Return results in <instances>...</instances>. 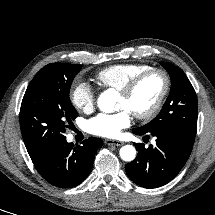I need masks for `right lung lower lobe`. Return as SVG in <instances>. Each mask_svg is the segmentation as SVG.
<instances>
[{
  "label": "right lung lower lobe",
  "mask_w": 215,
  "mask_h": 215,
  "mask_svg": "<svg viewBox=\"0 0 215 215\" xmlns=\"http://www.w3.org/2000/svg\"><path fill=\"white\" fill-rule=\"evenodd\" d=\"M103 145L99 138L90 137L82 146L68 143L66 137L32 160L40 175L50 184L71 188L89 175L95 153Z\"/></svg>",
  "instance_id": "right-lung-lower-lobe-1"
}]
</instances>
